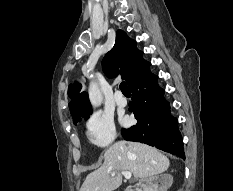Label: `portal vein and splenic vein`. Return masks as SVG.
<instances>
[{
  "label": "portal vein and splenic vein",
  "mask_w": 233,
  "mask_h": 191,
  "mask_svg": "<svg viewBox=\"0 0 233 191\" xmlns=\"http://www.w3.org/2000/svg\"><path fill=\"white\" fill-rule=\"evenodd\" d=\"M122 175L125 177V179L129 180L132 176L131 172L129 171H121Z\"/></svg>",
  "instance_id": "18ae733b"
}]
</instances>
